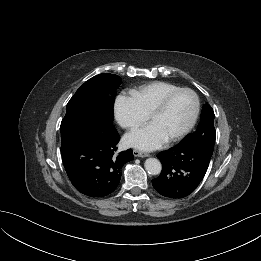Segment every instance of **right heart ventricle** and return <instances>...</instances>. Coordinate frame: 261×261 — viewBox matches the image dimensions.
<instances>
[{
    "label": "right heart ventricle",
    "mask_w": 261,
    "mask_h": 261,
    "mask_svg": "<svg viewBox=\"0 0 261 261\" xmlns=\"http://www.w3.org/2000/svg\"><path fill=\"white\" fill-rule=\"evenodd\" d=\"M181 87L165 81L148 83L132 92L142 111L148 116L163 98Z\"/></svg>",
    "instance_id": "right-heart-ventricle-1"
}]
</instances>
